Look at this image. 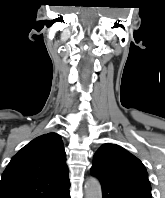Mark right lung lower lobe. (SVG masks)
<instances>
[{"instance_id": "98d812e1", "label": "right lung lower lobe", "mask_w": 165, "mask_h": 198, "mask_svg": "<svg viewBox=\"0 0 165 198\" xmlns=\"http://www.w3.org/2000/svg\"><path fill=\"white\" fill-rule=\"evenodd\" d=\"M61 198H70L69 190Z\"/></svg>"}]
</instances>
